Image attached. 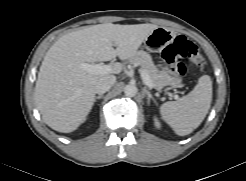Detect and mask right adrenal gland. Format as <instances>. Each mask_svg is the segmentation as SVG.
<instances>
[{
	"instance_id": "obj_1",
	"label": "right adrenal gland",
	"mask_w": 246,
	"mask_h": 181,
	"mask_svg": "<svg viewBox=\"0 0 246 181\" xmlns=\"http://www.w3.org/2000/svg\"><path fill=\"white\" fill-rule=\"evenodd\" d=\"M103 97V95L101 94V95H99V96H96L95 98H94V102H96V100L97 99H101Z\"/></svg>"
}]
</instances>
